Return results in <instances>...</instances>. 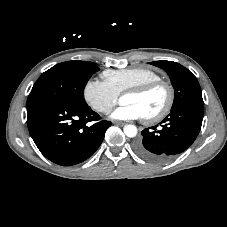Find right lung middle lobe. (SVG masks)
I'll use <instances>...</instances> for the list:
<instances>
[{
  "instance_id": "obj_1",
  "label": "right lung middle lobe",
  "mask_w": 227,
  "mask_h": 227,
  "mask_svg": "<svg viewBox=\"0 0 227 227\" xmlns=\"http://www.w3.org/2000/svg\"><path fill=\"white\" fill-rule=\"evenodd\" d=\"M99 68L89 61H67L44 72L35 82L27 106L43 100L86 105L83 88Z\"/></svg>"
}]
</instances>
